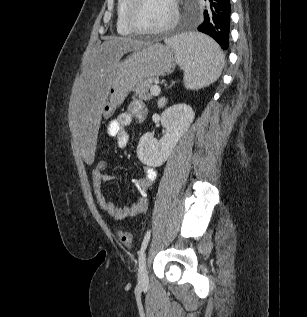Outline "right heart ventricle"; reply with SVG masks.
I'll use <instances>...</instances> for the list:
<instances>
[{
	"instance_id": "e07e8e85",
	"label": "right heart ventricle",
	"mask_w": 307,
	"mask_h": 317,
	"mask_svg": "<svg viewBox=\"0 0 307 317\" xmlns=\"http://www.w3.org/2000/svg\"><path fill=\"white\" fill-rule=\"evenodd\" d=\"M128 0H117L116 3V30L120 35H133L134 32L128 27L125 18Z\"/></svg>"
}]
</instances>
